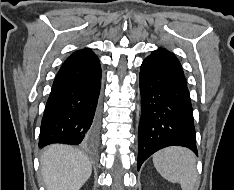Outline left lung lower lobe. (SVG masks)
Wrapping results in <instances>:
<instances>
[{"label":"left lung lower lobe","mask_w":234,"mask_h":190,"mask_svg":"<svg viewBox=\"0 0 234 190\" xmlns=\"http://www.w3.org/2000/svg\"><path fill=\"white\" fill-rule=\"evenodd\" d=\"M142 113L138 130V170L156 151L183 146L196 155L193 109L179 60L159 48L144 59L139 75Z\"/></svg>","instance_id":"obj_1"}]
</instances>
